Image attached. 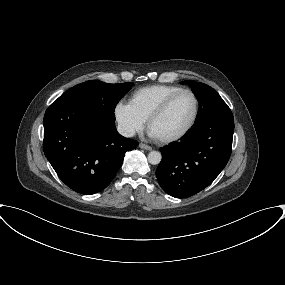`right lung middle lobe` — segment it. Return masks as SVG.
I'll list each match as a JSON object with an SVG mask.
<instances>
[{"mask_svg":"<svg viewBox=\"0 0 285 285\" xmlns=\"http://www.w3.org/2000/svg\"><path fill=\"white\" fill-rule=\"evenodd\" d=\"M132 86L133 83L108 84L90 80L70 88L56 101L78 106L114 122L115 107Z\"/></svg>","mask_w":285,"mask_h":285,"instance_id":"right-lung-middle-lobe-1","label":"right lung middle lobe"}]
</instances>
